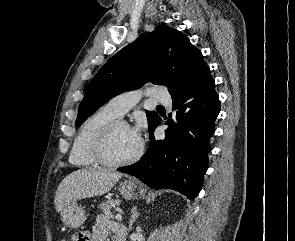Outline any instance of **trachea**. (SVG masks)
<instances>
[{
    "label": "trachea",
    "mask_w": 295,
    "mask_h": 241,
    "mask_svg": "<svg viewBox=\"0 0 295 241\" xmlns=\"http://www.w3.org/2000/svg\"><path fill=\"white\" fill-rule=\"evenodd\" d=\"M157 107H158V108H163V106H162V105H158Z\"/></svg>",
    "instance_id": "3493384b"
}]
</instances>
